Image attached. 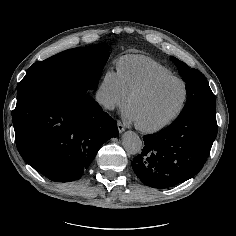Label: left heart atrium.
I'll return each instance as SVG.
<instances>
[{
    "mask_svg": "<svg viewBox=\"0 0 236 236\" xmlns=\"http://www.w3.org/2000/svg\"><path fill=\"white\" fill-rule=\"evenodd\" d=\"M126 117H127L129 120H131V121L134 120V116H133L131 110L127 111V113H126Z\"/></svg>",
    "mask_w": 236,
    "mask_h": 236,
    "instance_id": "1",
    "label": "left heart atrium"
}]
</instances>
